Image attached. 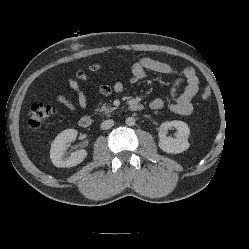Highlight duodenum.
Segmentation results:
<instances>
[{"mask_svg": "<svg viewBox=\"0 0 249 249\" xmlns=\"http://www.w3.org/2000/svg\"><path fill=\"white\" fill-rule=\"evenodd\" d=\"M128 109L132 112H139L143 110V105L141 103H133L131 104ZM92 125V118L90 116H82L79 119V126L83 129H87Z\"/></svg>", "mask_w": 249, "mask_h": 249, "instance_id": "410a0bca", "label": "duodenum"}]
</instances>
